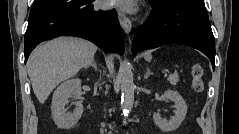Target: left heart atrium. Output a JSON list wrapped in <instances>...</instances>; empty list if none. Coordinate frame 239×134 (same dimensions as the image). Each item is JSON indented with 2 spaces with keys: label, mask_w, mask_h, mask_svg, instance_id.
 Masks as SVG:
<instances>
[{
  "label": "left heart atrium",
  "mask_w": 239,
  "mask_h": 134,
  "mask_svg": "<svg viewBox=\"0 0 239 134\" xmlns=\"http://www.w3.org/2000/svg\"><path fill=\"white\" fill-rule=\"evenodd\" d=\"M114 5L120 6L121 8L131 11L133 10V1L131 0H118L114 2Z\"/></svg>",
  "instance_id": "obj_1"
}]
</instances>
